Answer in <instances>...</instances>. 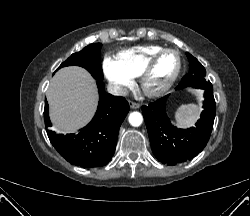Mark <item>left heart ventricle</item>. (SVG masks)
<instances>
[{"label": "left heart ventricle", "instance_id": "1", "mask_svg": "<svg viewBox=\"0 0 250 216\" xmlns=\"http://www.w3.org/2000/svg\"><path fill=\"white\" fill-rule=\"evenodd\" d=\"M178 65L174 53H165L156 61L146 80V88L154 91L162 88L172 77Z\"/></svg>", "mask_w": 250, "mask_h": 216}]
</instances>
